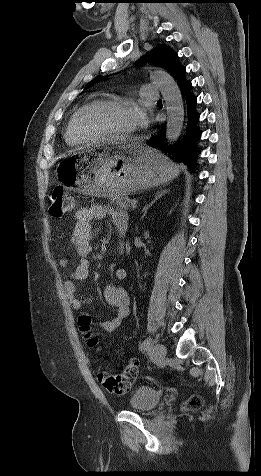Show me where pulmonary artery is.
<instances>
[{"instance_id":"1","label":"pulmonary artery","mask_w":261,"mask_h":476,"mask_svg":"<svg viewBox=\"0 0 261 476\" xmlns=\"http://www.w3.org/2000/svg\"><path fill=\"white\" fill-rule=\"evenodd\" d=\"M141 96L148 101H157L160 98L158 89L151 84H146L142 86Z\"/></svg>"}]
</instances>
